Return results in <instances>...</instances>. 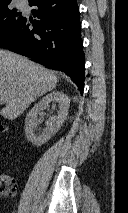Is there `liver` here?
Here are the masks:
<instances>
[{"instance_id":"liver-1","label":"liver","mask_w":128,"mask_h":213,"mask_svg":"<svg viewBox=\"0 0 128 213\" xmlns=\"http://www.w3.org/2000/svg\"><path fill=\"white\" fill-rule=\"evenodd\" d=\"M58 77L26 57L0 49V99L6 106L0 114L16 119L38 97L54 89Z\"/></svg>"}]
</instances>
